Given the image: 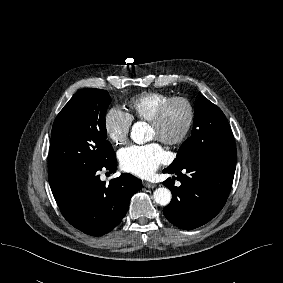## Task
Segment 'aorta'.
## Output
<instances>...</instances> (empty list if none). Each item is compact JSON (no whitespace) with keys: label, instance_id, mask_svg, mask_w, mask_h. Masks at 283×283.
Returning <instances> with one entry per match:
<instances>
[{"label":"aorta","instance_id":"762f6f07","mask_svg":"<svg viewBox=\"0 0 283 283\" xmlns=\"http://www.w3.org/2000/svg\"><path fill=\"white\" fill-rule=\"evenodd\" d=\"M147 131V124L143 122H137L133 125L131 130V139L138 144H142L147 141V137L145 135ZM171 192L168 188L160 187L157 188L153 193L154 201L161 205L166 206L171 201Z\"/></svg>","mask_w":283,"mask_h":283}]
</instances>
